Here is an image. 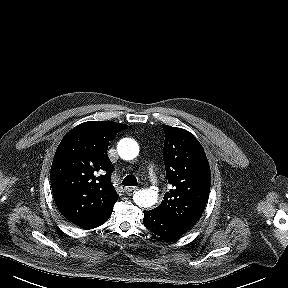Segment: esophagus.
Returning a JSON list of instances; mask_svg holds the SVG:
<instances>
[{
	"instance_id": "obj_1",
	"label": "esophagus",
	"mask_w": 288,
	"mask_h": 288,
	"mask_svg": "<svg viewBox=\"0 0 288 288\" xmlns=\"http://www.w3.org/2000/svg\"><path fill=\"white\" fill-rule=\"evenodd\" d=\"M139 188L138 187H126L125 192L127 194H132L133 192L137 191Z\"/></svg>"
}]
</instances>
